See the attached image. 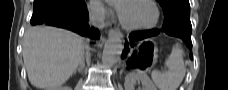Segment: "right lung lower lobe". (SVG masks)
<instances>
[{
    "label": "right lung lower lobe",
    "mask_w": 228,
    "mask_h": 90,
    "mask_svg": "<svg viewBox=\"0 0 228 90\" xmlns=\"http://www.w3.org/2000/svg\"><path fill=\"white\" fill-rule=\"evenodd\" d=\"M84 0H34L32 25H51L74 31L91 39H98V29L90 28Z\"/></svg>",
    "instance_id": "obj_1"
}]
</instances>
